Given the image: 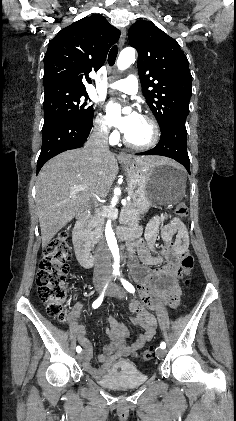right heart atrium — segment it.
Wrapping results in <instances>:
<instances>
[{"instance_id":"d8ad5b80","label":"right heart atrium","mask_w":236,"mask_h":421,"mask_svg":"<svg viewBox=\"0 0 236 421\" xmlns=\"http://www.w3.org/2000/svg\"><path fill=\"white\" fill-rule=\"evenodd\" d=\"M94 131L102 139L113 140L116 136L112 130L108 116L97 111L94 117Z\"/></svg>"}]
</instances>
